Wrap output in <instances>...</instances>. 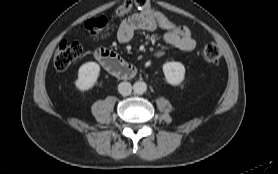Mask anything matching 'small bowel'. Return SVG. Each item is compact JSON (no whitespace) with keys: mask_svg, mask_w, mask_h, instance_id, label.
<instances>
[{"mask_svg":"<svg viewBox=\"0 0 278 174\" xmlns=\"http://www.w3.org/2000/svg\"><path fill=\"white\" fill-rule=\"evenodd\" d=\"M157 29L161 28L152 15L147 13L133 14L121 22L117 38L120 42L127 43L133 39L138 31H155ZM163 38L168 45L182 52H191L196 47V41L193 37L182 38L170 31L164 30ZM162 54V51H158L156 57H160Z\"/></svg>","mask_w":278,"mask_h":174,"instance_id":"1","label":"small bowel"}]
</instances>
